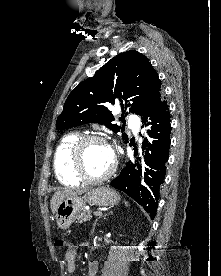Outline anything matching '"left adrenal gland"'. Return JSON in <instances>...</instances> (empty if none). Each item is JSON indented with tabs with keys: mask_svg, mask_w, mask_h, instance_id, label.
Here are the masks:
<instances>
[{
	"mask_svg": "<svg viewBox=\"0 0 221 276\" xmlns=\"http://www.w3.org/2000/svg\"><path fill=\"white\" fill-rule=\"evenodd\" d=\"M109 214H112V211H110L108 214L104 215V217L107 216V215H109ZM97 221H98V219H96V221H95V223H94V225H93L92 233H93L94 230H95V226H96V222H97Z\"/></svg>",
	"mask_w": 221,
	"mask_h": 276,
	"instance_id": "a2214340",
	"label": "left adrenal gland"
}]
</instances>
